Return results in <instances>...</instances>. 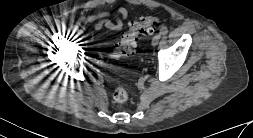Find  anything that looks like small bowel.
<instances>
[{
  "label": "small bowel",
  "instance_id": "small-bowel-1",
  "mask_svg": "<svg viewBox=\"0 0 253 138\" xmlns=\"http://www.w3.org/2000/svg\"><path fill=\"white\" fill-rule=\"evenodd\" d=\"M110 14L107 11H103L97 14L88 15L82 18L84 23H93L94 30L98 31L103 26L110 30H118L121 29L124 22L128 18V11L125 8H121L118 11V17L114 22L108 21V17Z\"/></svg>",
  "mask_w": 253,
  "mask_h": 138
}]
</instances>
